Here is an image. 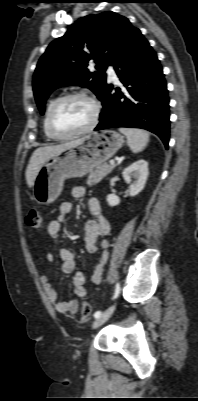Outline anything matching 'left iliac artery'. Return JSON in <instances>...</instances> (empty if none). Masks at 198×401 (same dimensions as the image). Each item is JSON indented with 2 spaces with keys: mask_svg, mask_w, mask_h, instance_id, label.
<instances>
[{
  "mask_svg": "<svg viewBox=\"0 0 198 401\" xmlns=\"http://www.w3.org/2000/svg\"><path fill=\"white\" fill-rule=\"evenodd\" d=\"M119 292H120V285H119V283H117L116 287H115V293H114L113 299H115L118 296ZM101 314H102V311H96L94 313V318H98Z\"/></svg>",
  "mask_w": 198,
  "mask_h": 401,
  "instance_id": "44dca946",
  "label": "left iliac artery"
}]
</instances>
